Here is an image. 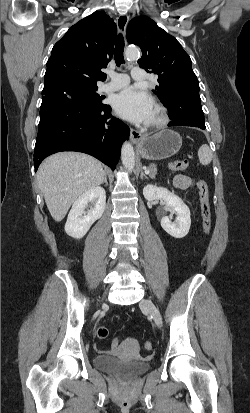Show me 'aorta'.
<instances>
[{
	"label": "aorta",
	"mask_w": 250,
	"mask_h": 413,
	"mask_svg": "<svg viewBox=\"0 0 250 413\" xmlns=\"http://www.w3.org/2000/svg\"><path fill=\"white\" fill-rule=\"evenodd\" d=\"M125 56L128 60H136L140 57V52L137 48L129 47L125 51ZM121 159L125 169L132 172L135 166V154L133 146L129 142H125L122 146Z\"/></svg>",
	"instance_id": "1"
}]
</instances>
